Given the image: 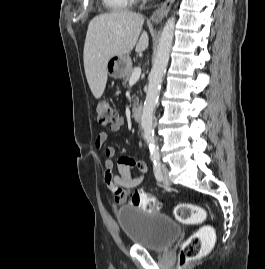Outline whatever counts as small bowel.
<instances>
[{"mask_svg":"<svg viewBox=\"0 0 265 269\" xmlns=\"http://www.w3.org/2000/svg\"><path fill=\"white\" fill-rule=\"evenodd\" d=\"M123 125L124 120L118 119V121L110 127V131L113 133H117L121 130ZM107 138V133L101 132L97 136L95 144L97 148L103 150L106 156L104 162V179L107 183L108 190L112 195V200L115 204L121 205L126 202L129 191L136 188L142 183L147 173V165L143 160L134 159L133 157L127 155H121L117 158L116 162L118 175H114V158L117 156V151L112 146H105ZM133 169H136L138 171V174L136 176L132 175Z\"/></svg>","mask_w":265,"mask_h":269,"instance_id":"obj_1","label":"small bowel"}]
</instances>
